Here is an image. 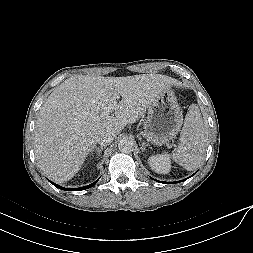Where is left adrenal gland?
<instances>
[{"label": "left adrenal gland", "mask_w": 253, "mask_h": 253, "mask_svg": "<svg viewBox=\"0 0 253 253\" xmlns=\"http://www.w3.org/2000/svg\"><path fill=\"white\" fill-rule=\"evenodd\" d=\"M141 140V138H139ZM148 145L143 141L141 144V150L144 151Z\"/></svg>", "instance_id": "obj_1"}]
</instances>
